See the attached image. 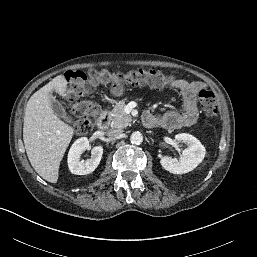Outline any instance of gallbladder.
<instances>
[{
    "mask_svg": "<svg viewBox=\"0 0 257 257\" xmlns=\"http://www.w3.org/2000/svg\"><path fill=\"white\" fill-rule=\"evenodd\" d=\"M50 103L53 112L60 118H62L67 123H73V119L68 115L65 108L60 104V102L53 96L50 98Z\"/></svg>",
    "mask_w": 257,
    "mask_h": 257,
    "instance_id": "1",
    "label": "gallbladder"
}]
</instances>
